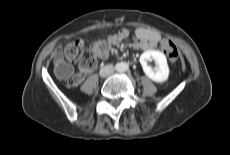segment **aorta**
Listing matches in <instances>:
<instances>
[{
  "mask_svg": "<svg viewBox=\"0 0 230 155\" xmlns=\"http://www.w3.org/2000/svg\"><path fill=\"white\" fill-rule=\"evenodd\" d=\"M128 64L125 63V62H121L119 65H118V70L123 72V71H126L128 70Z\"/></svg>",
  "mask_w": 230,
  "mask_h": 155,
  "instance_id": "aorta-1",
  "label": "aorta"
}]
</instances>
